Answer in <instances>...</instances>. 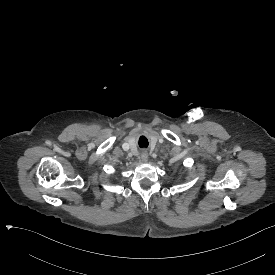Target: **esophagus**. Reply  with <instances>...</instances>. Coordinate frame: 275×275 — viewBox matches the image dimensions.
Wrapping results in <instances>:
<instances>
[{"label": "esophagus", "mask_w": 275, "mask_h": 275, "mask_svg": "<svg viewBox=\"0 0 275 275\" xmlns=\"http://www.w3.org/2000/svg\"><path fill=\"white\" fill-rule=\"evenodd\" d=\"M149 158L148 152L146 150L141 151V160L147 162Z\"/></svg>", "instance_id": "1"}]
</instances>
